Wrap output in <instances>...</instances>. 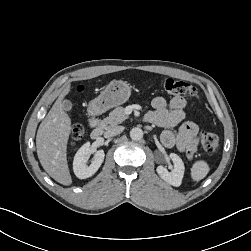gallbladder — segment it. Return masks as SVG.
Returning a JSON list of instances; mask_svg holds the SVG:
<instances>
[{
  "label": "gallbladder",
  "mask_w": 251,
  "mask_h": 251,
  "mask_svg": "<svg viewBox=\"0 0 251 251\" xmlns=\"http://www.w3.org/2000/svg\"><path fill=\"white\" fill-rule=\"evenodd\" d=\"M62 107L65 111H70L72 109V103L69 100L62 101Z\"/></svg>",
  "instance_id": "obj_1"
}]
</instances>
